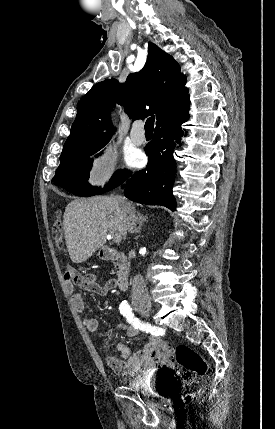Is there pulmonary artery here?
Instances as JSON below:
<instances>
[{
  "instance_id": "e3ab8cb5",
  "label": "pulmonary artery",
  "mask_w": 275,
  "mask_h": 429,
  "mask_svg": "<svg viewBox=\"0 0 275 429\" xmlns=\"http://www.w3.org/2000/svg\"><path fill=\"white\" fill-rule=\"evenodd\" d=\"M130 138L135 144H142L145 141V134L140 122H135L133 124L130 131Z\"/></svg>"
}]
</instances>
